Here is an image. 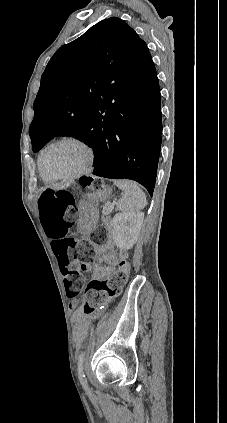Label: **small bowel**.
<instances>
[{
  "label": "small bowel",
  "instance_id": "obj_1",
  "mask_svg": "<svg viewBox=\"0 0 227 423\" xmlns=\"http://www.w3.org/2000/svg\"><path fill=\"white\" fill-rule=\"evenodd\" d=\"M55 239L51 240L52 249H55ZM102 260L105 262V266L95 265L92 269V279L102 280L106 276L112 274L117 265V260L112 250L111 243H106L99 248ZM77 307V301L71 300L69 302V308L74 310ZM103 308V307H101ZM101 311L95 312L92 315L84 314L81 311L74 313L72 317V323L74 327V336L78 344H81L87 336L92 322L99 316Z\"/></svg>",
  "mask_w": 227,
  "mask_h": 423
}]
</instances>
